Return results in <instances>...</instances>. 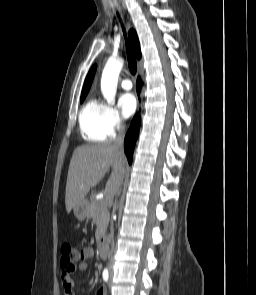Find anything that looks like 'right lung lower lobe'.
I'll list each match as a JSON object with an SVG mask.
<instances>
[{"mask_svg": "<svg viewBox=\"0 0 256 295\" xmlns=\"http://www.w3.org/2000/svg\"><path fill=\"white\" fill-rule=\"evenodd\" d=\"M141 85H142V83H141V80L139 77L137 79V92H138V94H140ZM139 127H140V115L137 114L133 118L130 128H129L128 132L126 133L125 140H124V150H125V154L127 156L129 164H131V162H132L134 146H135L136 140L138 138V134H139Z\"/></svg>", "mask_w": 256, "mask_h": 295, "instance_id": "right-lung-lower-lobe-1", "label": "right lung lower lobe"}]
</instances>
